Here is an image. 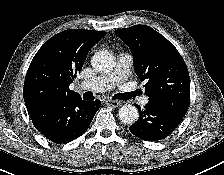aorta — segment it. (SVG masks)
I'll return each mask as SVG.
<instances>
[{
	"instance_id": "obj_1",
	"label": "aorta",
	"mask_w": 224,
	"mask_h": 175,
	"mask_svg": "<svg viewBox=\"0 0 224 175\" xmlns=\"http://www.w3.org/2000/svg\"><path fill=\"white\" fill-rule=\"evenodd\" d=\"M92 67L100 72H110L115 66L114 56L108 51H98L91 59ZM121 122L132 124L139 118L138 109L131 105H123L118 112Z\"/></svg>"
}]
</instances>
